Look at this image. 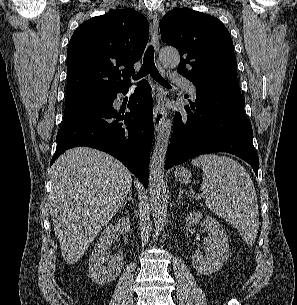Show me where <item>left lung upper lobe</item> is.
Here are the masks:
<instances>
[{"mask_svg": "<svg viewBox=\"0 0 297 305\" xmlns=\"http://www.w3.org/2000/svg\"><path fill=\"white\" fill-rule=\"evenodd\" d=\"M159 27L162 41L179 50L178 72L197 89L237 80L231 36L216 17L175 8L165 14Z\"/></svg>", "mask_w": 297, "mask_h": 305, "instance_id": "left-lung-upper-lobe-1", "label": "left lung upper lobe"}]
</instances>
